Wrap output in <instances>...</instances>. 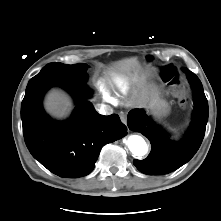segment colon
<instances>
[{
  "instance_id": "1",
  "label": "colon",
  "mask_w": 221,
  "mask_h": 221,
  "mask_svg": "<svg viewBox=\"0 0 221 221\" xmlns=\"http://www.w3.org/2000/svg\"><path fill=\"white\" fill-rule=\"evenodd\" d=\"M161 76L170 83H175L177 80V72L176 70L170 67H161ZM181 106H185L187 104V98L184 95H179Z\"/></svg>"
}]
</instances>
